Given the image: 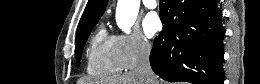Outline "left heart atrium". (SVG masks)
Here are the masks:
<instances>
[{
  "instance_id": "39dd6f15",
  "label": "left heart atrium",
  "mask_w": 260,
  "mask_h": 84,
  "mask_svg": "<svg viewBox=\"0 0 260 84\" xmlns=\"http://www.w3.org/2000/svg\"><path fill=\"white\" fill-rule=\"evenodd\" d=\"M160 28V20L156 13H148L143 22V30L147 37H153Z\"/></svg>"
}]
</instances>
